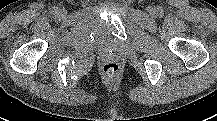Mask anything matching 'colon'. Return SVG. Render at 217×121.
<instances>
[{
  "mask_svg": "<svg viewBox=\"0 0 217 121\" xmlns=\"http://www.w3.org/2000/svg\"><path fill=\"white\" fill-rule=\"evenodd\" d=\"M103 73L107 77H114L120 71V65L116 62L105 63L102 67Z\"/></svg>",
  "mask_w": 217,
  "mask_h": 121,
  "instance_id": "5ec220e1",
  "label": "colon"
}]
</instances>
